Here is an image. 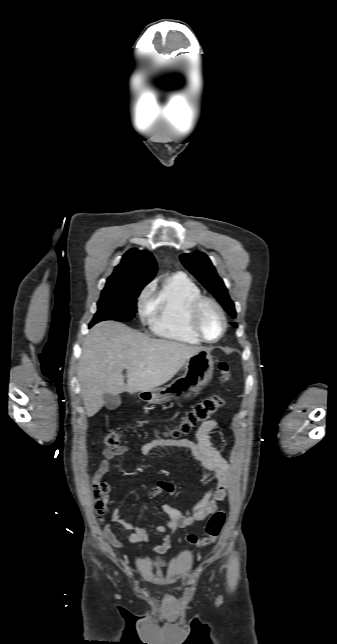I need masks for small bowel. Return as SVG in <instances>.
<instances>
[{"mask_svg":"<svg viewBox=\"0 0 337 644\" xmlns=\"http://www.w3.org/2000/svg\"><path fill=\"white\" fill-rule=\"evenodd\" d=\"M216 427L217 421L215 419H209L198 428L194 441L189 439H181L178 441L151 440L140 447V453L144 456L151 454L156 449L166 448L171 445L187 448L190 450L198 465L213 474V481L209 489L190 508L178 509L168 504L162 506V511L168 516V522L156 527L159 533L165 534L152 548L154 553L160 554L165 552L170 547L172 534L178 529L192 526L195 522L204 520L217 510L218 504L226 497L230 464L221 456L210 441L209 434ZM129 450L130 447L128 445H120L115 449H105L103 451V459L95 475L96 479L100 480L105 474L111 472V461L126 454ZM175 491L176 486L174 483L161 480L147 491L146 496L147 498H153L161 494L172 495ZM112 521L120 524L130 532L126 539L132 544L137 545L151 539L146 527L135 525L122 519L119 509L113 511ZM103 536L114 546H123L125 542L123 538L119 537L113 531L110 524L104 527Z\"/></svg>","mask_w":337,"mask_h":644,"instance_id":"obj_1","label":"small bowel"}]
</instances>
